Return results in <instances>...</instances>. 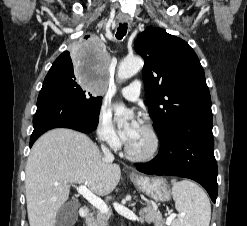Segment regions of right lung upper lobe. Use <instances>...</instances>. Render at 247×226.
Returning a JSON list of instances; mask_svg holds the SVG:
<instances>
[{"instance_id":"cb5924a9","label":"right lung upper lobe","mask_w":247,"mask_h":226,"mask_svg":"<svg viewBox=\"0 0 247 226\" xmlns=\"http://www.w3.org/2000/svg\"><path fill=\"white\" fill-rule=\"evenodd\" d=\"M90 37V35L85 36L86 39H88ZM69 57V52L65 51L63 52L53 63L52 67H54L58 62L62 61V60H66ZM51 67V68H52Z\"/></svg>"}]
</instances>
